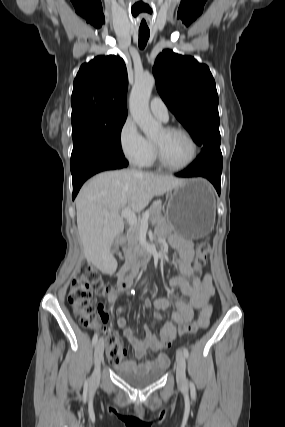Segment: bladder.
Here are the masks:
<instances>
[{
  "mask_svg": "<svg viewBox=\"0 0 285 427\" xmlns=\"http://www.w3.org/2000/svg\"><path fill=\"white\" fill-rule=\"evenodd\" d=\"M117 372L129 385L135 388H143L159 380L163 376L165 368L160 367L144 373H134L122 369L117 370Z\"/></svg>",
  "mask_w": 285,
  "mask_h": 427,
  "instance_id": "bladder-1",
  "label": "bladder"
}]
</instances>
